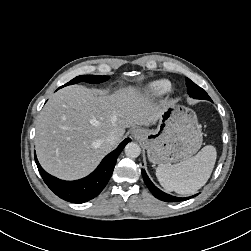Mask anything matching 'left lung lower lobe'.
I'll return each instance as SVG.
<instances>
[{"instance_id":"1","label":"left lung lower lobe","mask_w":251,"mask_h":251,"mask_svg":"<svg viewBox=\"0 0 251 251\" xmlns=\"http://www.w3.org/2000/svg\"><path fill=\"white\" fill-rule=\"evenodd\" d=\"M142 176L144 179V182L146 184V186L148 187V189L151 191V193L158 199L162 200V201H166V202H179V201H183V200H187L190 197H185V198H180V197H175L169 194L164 193L163 191H161L160 189H158L149 179V177L147 176L145 170H142ZM196 196V195H194ZM192 196V197H194Z\"/></svg>"}]
</instances>
